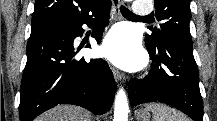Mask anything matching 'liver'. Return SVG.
Instances as JSON below:
<instances>
[{"label": "liver", "mask_w": 217, "mask_h": 121, "mask_svg": "<svg viewBox=\"0 0 217 121\" xmlns=\"http://www.w3.org/2000/svg\"><path fill=\"white\" fill-rule=\"evenodd\" d=\"M90 113L74 105H58L36 118V121H90Z\"/></svg>", "instance_id": "1"}]
</instances>
